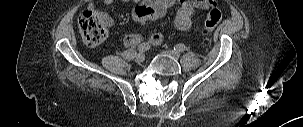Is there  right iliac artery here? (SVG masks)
<instances>
[{
    "instance_id": "82829eb1",
    "label": "right iliac artery",
    "mask_w": 303,
    "mask_h": 127,
    "mask_svg": "<svg viewBox=\"0 0 303 127\" xmlns=\"http://www.w3.org/2000/svg\"><path fill=\"white\" fill-rule=\"evenodd\" d=\"M150 49V45L148 43H142L138 46L137 50L140 53L146 52Z\"/></svg>"
}]
</instances>
